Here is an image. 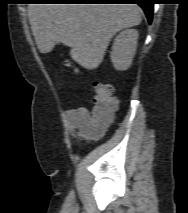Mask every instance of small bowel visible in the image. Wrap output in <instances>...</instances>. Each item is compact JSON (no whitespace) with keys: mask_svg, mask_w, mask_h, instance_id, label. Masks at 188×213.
Segmentation results:
<instances>
[{"mask_svg":"<svg viewBox=\"0 0 188 213\" xmlns=\"http://www.w3.org/2000/svg\"><path fill=\"white\" fill-rule=\"evenodd\" d=\"M66 117L72 132L88 139L101 137L112 121L102 126H94L91 111L85 107L68 110Z\"/></svg>","mask_w":188,"mask_h":213,"instance_id":"c3829d8e","label":"small bowel"}]
</instances>
